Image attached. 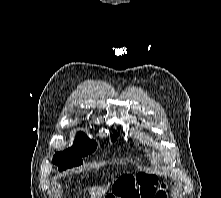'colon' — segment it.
Returning <instances> with one entry per match:
<instances>
[{
	"mask_svg": "<svg viewBox=\"0 0 221 198\" xmlns=\"http://www.w3.org/2000/svg\"><path fill=\"white\" fill-rule=\"evenodd\" d=\"M105 198H167V191L166 186L159 187L151 175H126L116 181L112 192Z\"/></svg>",
	"mask_w": 221,
	"mask_h": 198,
	"instance_id": "1",
	"label": "colon"
}]
</instances>
